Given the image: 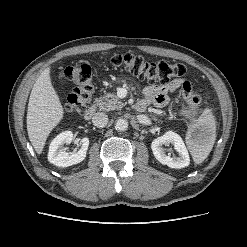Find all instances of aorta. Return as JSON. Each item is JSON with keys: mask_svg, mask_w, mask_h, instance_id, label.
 <instances>
[{"mask_svg": "<svg viewBox=\"0 0 247 247\" xmlns=\"http://www.w3.org/2000/svg\"><path fill=\"white\" fill-rule=\"evenodd\" d=\"M128 128V122L125 119H118L115 124V129L117 131H126Z\"/></svg>", "mask_w": 247, "mask_h": 247, "instance_id": "762f6f07", "label": "aorta"}]
</instances>
